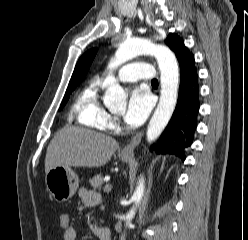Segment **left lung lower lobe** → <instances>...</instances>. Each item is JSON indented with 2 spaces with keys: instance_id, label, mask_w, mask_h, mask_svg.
I'll list each match as a JSON object with an SVG mask.
<instances>
[{
  "instance_id": "1",
  "label": "left lung lower lobe",
  "mask_w": 248,
  "mask_h": 240,
  "mask_svg": "<svg viewBox=\"0 0 248 240\" xmlns=\"http://www.w3.org/2000/svg\"><path fill=\"white\" fill-rule=\"evenodd\" d=\"M199 85L194 56L191 53L180 64V86L174 113L163 132L158 153L172 154L185 160V149L191 146L197 128Z\"/></svg>"
}]
</instances>
